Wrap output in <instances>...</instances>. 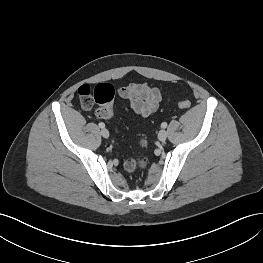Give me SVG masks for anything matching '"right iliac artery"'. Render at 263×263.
Instances as JSON below:
<instances>
[{
  "mask_svg": "<svg viewBox=\"0 0 263 263\" xmlns=\"http://www.w3.org/2000/svg\"><path fill=\"white\" fill-rule=\"evenodd\" d=\"M99 127H100V128H104V127H105V124H104L103 122H100V123H99Z\"/></svg>",
  "mask_w": 263,
  "mask_h": 263,
  "instance_id": "right-iliac-artery-1",
  "label": "right iliac artery"
}]
</instances>
